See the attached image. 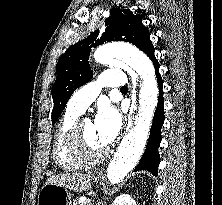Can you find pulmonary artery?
<instances>
[{
	"label": "pulmonary artery",
	"mask_w": 222,
	"mask_h": 205,
	"mask_svg": "<svg viewBox=\"0 0 222 205\" xmlns=\"http://www.w3.org/2000/svg\"><path fill=\"white\" fill-rule=\"evenodd\" d=\"M127 80L124 72L116 69H107L100 80L92 81L78 89L68 102L70 110L82 113L99 95L102 86L122 88Z\"/></svg>",
	"instance_id": "pulmonary-artery-1"
}]
</instances>
